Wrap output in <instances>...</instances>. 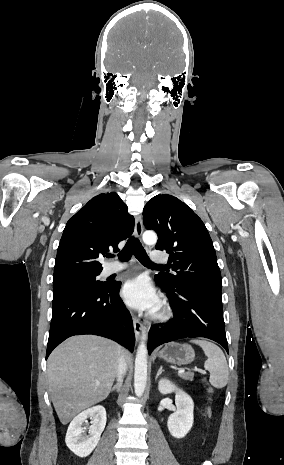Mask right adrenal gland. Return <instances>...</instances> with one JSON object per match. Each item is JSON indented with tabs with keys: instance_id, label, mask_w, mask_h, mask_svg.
Returning a JSON list of instances; mask_svg holds the SVG:
<instances>
[{
	"instance_id": "obj_1",
	"label": "right adrenal gland",
	"mask_w": 284,
	"mask_h": 465,
	"mask_svg": "<svg viewBox=\"0 0 284 465\" xmlns=\"http://www.w3.org/2000/svg\"><path fill=\"white\" fill-rule=\"evenodd\" d=\"M121 387H122V381H118L117 385H114V387H112L111 393H113V391H116V393H120Z\"/></svg>"
}]
</instances>
